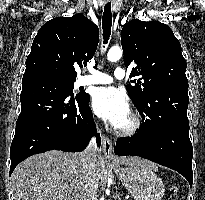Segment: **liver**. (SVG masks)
Listing matches in <instances>:
<instances>
[{"label":"liver","mask_w":205,"mask_h":200,"mask_svg":"<svg viewBox=\"0 0 205 200\" xmlns=\"http://www.w3.org/2000/svg\"><path fill=\"white\" fill-rule=\"evenodd\" d=\"M125 165L155 164L139 157L123 156ZM102 159L96 157L95 175L102 174ZM81 153L48 151L21 162L11 175L14 200H82Z\"/></svg>","instance_id":"6515ba94"}]
</instances>
